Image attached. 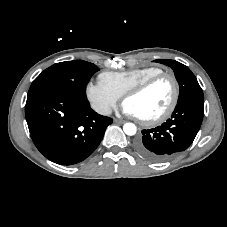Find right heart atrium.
Listing matches in <instances>:
<instances>
[{
    "mask_svg": "<svg viewBox=\"0 0 227 227\" xmlns=\"http://www.w3.org/2000/svg\"><path fill=\"white\" fill-rule=\"evenodd\" d=\"M85 91L92 108L101 115H109L116 108L120 98L100 81L89 82Z\"/></svg>",
    "mask_w": 227,
    "mask_h": 227,
    "instance_id": "d8ad5b80",
    "label": "right heart atrium"
}]
</instances>
